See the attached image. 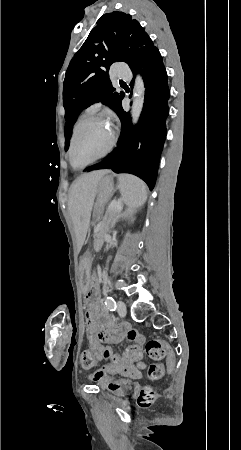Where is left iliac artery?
Here are the masks:
<instances>
[{"label": "left iliac artery", "mask_w": 241, "mask_h": 450, "mask_svg": "<svg viewBox=\"0 0 241 450\" xmlns=\"http://www.w3.org/2000/svg\"><path fill=\"white\" fill-rule=\"evenodd\" d=\"M105 305L110 311L116 310V302L111 296H107L105 300Z\"/></svg>", "instance_id": "44dca946"}]
</instances>
